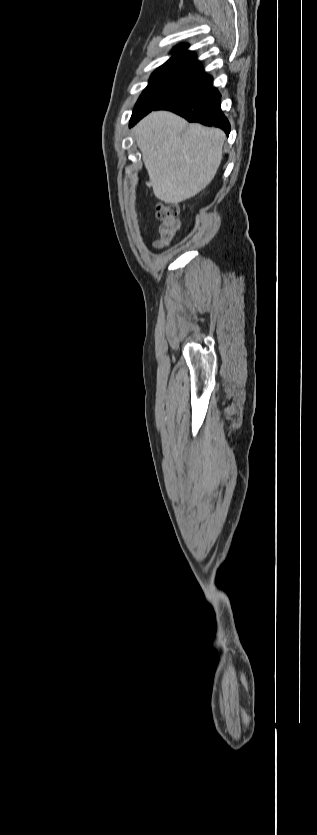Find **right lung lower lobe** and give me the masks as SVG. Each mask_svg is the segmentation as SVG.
<instances>
[{
	"mask_svg": "<svg viewBox=\"0 0 317 835\" xmlns=\"http://www.w3.org/2000/svg\"><path fill=\"white\" fill-rule=\"evenodd\" d=\"M191 62L197 67L198 73L201 75L203 73L202 76L206 77L207 81L190 91L170 99L153 110L166 109L173 111L189 122H199L206 126L221 128L228 136L230 133V124L220 107L221 95L209 83V81H212V77L204 74V70L199 62L196 59H192Z\"/></svg>",
	"mask_w": 317,
	"mask_h": 835,
	"instance_id": "98d812e1",
	"label": "right lung lower lobe"
}]
</instances>
